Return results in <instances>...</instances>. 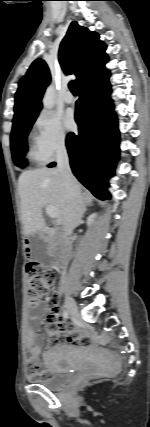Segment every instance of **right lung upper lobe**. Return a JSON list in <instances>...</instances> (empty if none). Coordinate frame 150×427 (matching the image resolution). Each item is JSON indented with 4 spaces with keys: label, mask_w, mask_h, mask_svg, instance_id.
Listing matches in <instances>:
<instances>
[{
    "label": "right lung upper lobe",
    "mask_w": 150,
    "mask_h": 427,
    "mask_svg": "<svg viewBox=\"0 0 150 427\" xmlns=\"http://www.w3.org/2000/svg\"><path fill=\"white\" fill-rule=\"evenodd\" d=\"M106 46L99 35L72 22L61 42L59 61L66 74L76 75L79 88L87 85L104 71L108 61ZM50 82V72L42 59H36L19 82L15 94L13 123L37 115L41 99Z\"/></svg>",
    "instance_id": "cb5924a9"
}]
</instances>
